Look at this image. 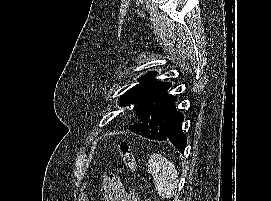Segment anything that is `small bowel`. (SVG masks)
I'll list each match as a JSON object with an SVG mask.
<instances>
[{
    "label": "small bowel",
    "mask_w": 271,
    "mask_h": 201,
    "mask_svg": "<svg viewBox=\"0 0 271 201\" xmlns=\"http://www.w3.org/2000/svg\"><path fill=\"white\" fill-rule=\"evenodd\" d=\"M103 201H131L119 177L111 174L102 181Z\"/></svg>",
    "instance_id": "c3829d8e"
}]
</instances>
